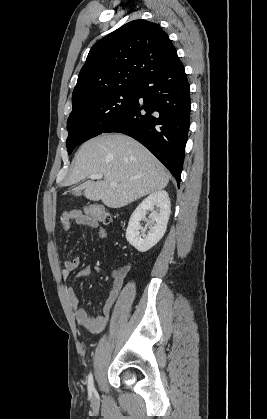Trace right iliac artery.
Here are the masks:
<instances>
[{
  "instance_id": "obj_1",
  "label": "right iliac artery",
  "mask_w": 267,
  "mask_h": 419,
  "mask_svg": "<svg viewBox=\"0 0 267 419\" xmlns=\"http://www.w3.org/2000/svg\"><path fill=\"white\" fill-rule=\"evenodd\" d=\"M93 391H94V382H93V376L90 373L89 376H88V392H89V395H91Z\"/></svg>"
}]
</instances>
